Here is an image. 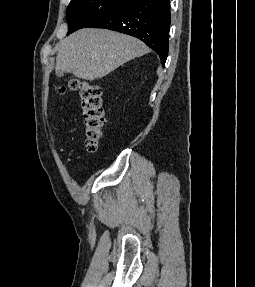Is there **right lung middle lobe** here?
<instances>
[{
  "instance_id": "right-lung-middle-lobe-1",
  "label": "right lung middle lobe",
  "mask_w": 255,
  "mask_h": 287,
  "mask_svg": "<svg viewBox=\"0 0 255 287\" xmlns=\"http://www.w3.org/2000/svg\"><path fill=\"white\" fill-rule=\"evenodd\" d=\"M128 0H71L67 7L68 35L87 27L107 12Z\"/></svg>"
}]
</instances>
